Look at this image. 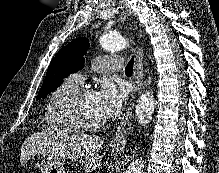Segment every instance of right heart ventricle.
<instances>
[{"label": "right heart ventricle", "instance_id": "obj_1", "mask_svg": "<svg viewBox=\"0 0 219 173\" xmlns=\"http://www.w3.org/2000/svg\"><path fill=\"white\" fill-rule=\"evenodd\" d=\"M79 90V86L66 80L50 95L44 110L45 128L53 133L68 135L79 131L71 125L66 116V103Z\"/></svg>", "mask_w": 219, "mask_h": 173}]
</instances>
